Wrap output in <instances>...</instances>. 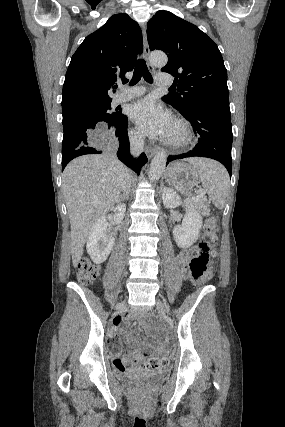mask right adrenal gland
Masks as SVG:
<instances>
[{"label":"right adrenal gland","instance_id":"2a0ac1e0","mask_svg":"<svg viewBox=\"0 0 285 427\" xmlns=\"http://www.w3.org/2000/svg\"><path fill=\"white\" fill-rule=\"evenodd\" d=\"M129 199V194H127L126 196L121 195L120 196V200H128Z\"/></svg>","mask_w":285,"mask_h":427}]
</instances>
